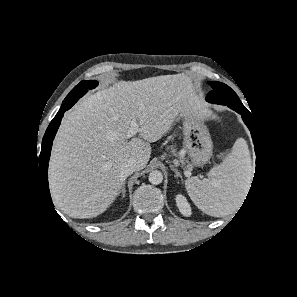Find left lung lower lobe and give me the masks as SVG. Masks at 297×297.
Segmentation results:
<instances>
[{"label": "left lung lower lobe", "instance_id": "obj_1", "mask_svg": "<svg viewBox=\"0 0 297 297\" xmlns=\"http://www.w3.org/2000/svg\"><path fill=\"white\" fill-rule=\"evenodd\" d=\"M236 112L242 115V118L245 122V124L248 126V128L251 130L254 146H255V151H256V167L258 164V150H257V140H256V135H255V128H254V123H253V118L250 112L248 111H242L240 109H236Z\"/></svg>", "mask_w": 297, "mask_h": 297}]
</instances>
